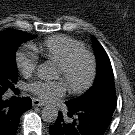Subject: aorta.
I'll return each instance as SVG.
<instances>
[{
    "label": "aorta",
    "instance_id": "762f6f07",
    "mask_svg": "<svg viewBox=\"0 0 135 135\" xmlns=\"http://www.w3.org/2000/svg\"><path fill=\"white\" fill-rule=\"evenodd\" d=\"M38 77L41 79L52 80L55 77V70L49 63H43L38 66ZM58 117V110L54 106H45L42 109V118L44 121L53 123Z\"/></svg>",
    "mask_w": 135,
    "mask_h": 135
}]
</instances>
